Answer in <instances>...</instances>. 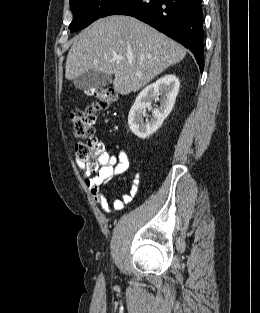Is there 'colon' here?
Masks as SVG:
<instances>
[{
	"label": "colon",
	"instance_id": "1",
	"mask_svg": "<svg viewBox=\"0 0 260 313\" xmlns=\"http://www.w3.org/2000/svg\"><path fill=\"white\" fill-rule=\"evenodd\" d=\"M87 94L93 98L92 103L75 109L71 122L74 135L82 139L76 144L75 153L95 171L105 164L104 146L94 134L96 113L109 108L117 100V93L111 87H92L87 89Z\"/></svg>",
	"mask_w": 260,
	"mask_h": 313
}]
</instances>
